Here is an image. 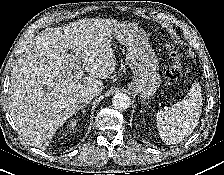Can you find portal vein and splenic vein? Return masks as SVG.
<instances>
[{"mask_svg":"<svg viewBox=\"0 0 224 175\" xmlns=\"http://www.w3.org/2000/svg\"><path fill=\"white\" fill-rule=\"evenodd\" d=\"M82 76H84V73H83V70L82 68H80L75 74L73 77L77 78V79H80Z\"/></svg>","mask_w":224,"mask_h":175,"instance_id":"obj_1","label":"portal vein and splenic vein"}]
</instances>
